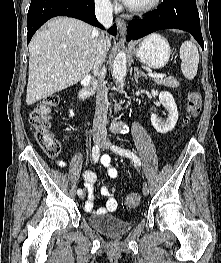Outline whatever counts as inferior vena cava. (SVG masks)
Returning <instances> with one entry per match:
<instances>
[{
	"mask_svg": "<svg viewBox=\"0 0 221 263\" xmlns=\"http://www.w3.org/2000/svg\"><path fill=\"white\" fill-rule=\"evenodd\" d=\"M113 9L110 0H95V14L97 20L105 27L113 24ZM96 57L93 67V73L99 79V87L96 95V110L93 121V136L101 139H106L107 131V112H108V97L107 88L104 83L106 73L103 63L106 57L105 33L99 31Z\"/></svg>",
	"mask_w": 221,
	"mask_h": 263,
	"instance_id": "inferior-vena-cava-1",
	"label": "inferior vena cava"
}]
</instances>
